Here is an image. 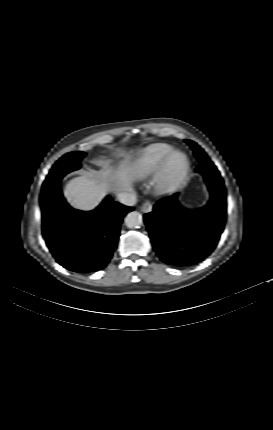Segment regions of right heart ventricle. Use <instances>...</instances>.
Instances as JSON below:
<instances>
[{
  "label": "right heart ventricle",
  "instance_id": "obj_1",
  "mask_svg": "<svg viewBox=\"0 0 273 430\" xmlns=\"http://www.w3.org/2000/svg\"><path fill=\"white\" fill-rule=\"evenodd\" d=\"M172 150V146L165 143H154L144 148L134 166V176L138 179L151 176L159 169L165 157Z\"/></svg>",
  "mask_w": 273,
  "mask_h": 430
}]
</instances>
